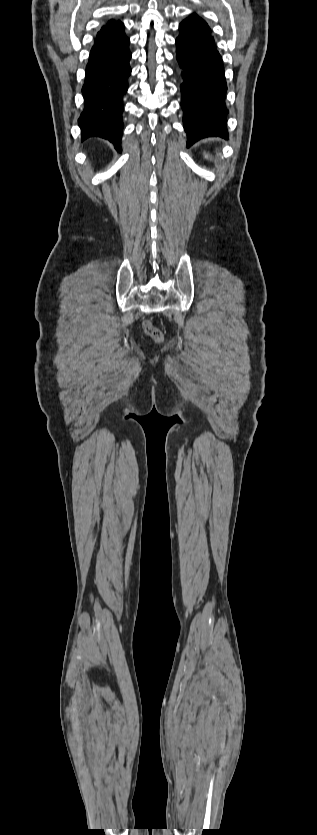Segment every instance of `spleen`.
Wrapping results in <instances>:
<instances>
[{
    "mask_svg": "<svg viewBox=\"0 0 317 835\" xmlns=\"http://www.w3.org/2000/svg\"><path fill=\"white\" fill-rule=\"evenodd\" d=\"M204 156H205V158H206V159H210V160H211V157H210L208 154H205Z\"/></svg>",
    "mask_w": 317,
    "mask_h": 835,
    "instance_id": "3e777b00",
    "label": "spleen"
}]
</instances>
